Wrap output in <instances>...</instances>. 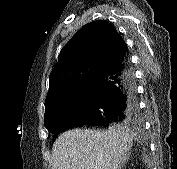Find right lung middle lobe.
Listing matches in <instances>:
<instances>
[{
  "mask_svg": "<svg viewBox=\"0 0 177 169\" xmlns=\"http://www.w3.org/2000/svg\"><path fill=\"white\" fill-rule=\"evenodd\" d=\"M94 92L95 87L91 81L76 89L63 101L45 107V127L50 133H54L65 121L80 113L90 104Z\"/></svg>",
  "mask_w": 177,
  "mask_h": 169,
  "instance_id": "obj_1",
  "label": "right lung middle lobe"
}]
</instances>
